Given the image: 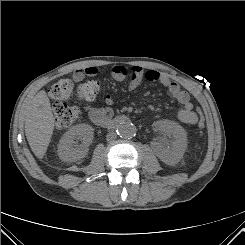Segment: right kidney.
Here are the masks:
<instances>
[{
    "label": "right kidney",
    "instance_id": "ca27d5eb",
    "mask_svg": "<svg viewBox=\"0 0 245 245\" xmlns=\"http://www.w3.org/2000/svg\"><path fill=\"white\" fill-rule=\"evenodd\" d=\"M93 131L94 129L88 124H79L68 129L58 145L59 158L64 162H75L85 157L93 140Z\"/></svg>",
    "mask_w": 245,
    "mask_h": 245
}]
</instances>
